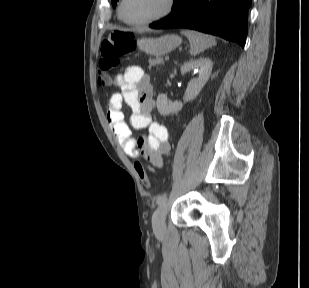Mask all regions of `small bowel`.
<instances>
[{
  "label": "small bowel",
  "mask_w": 309,
  "mask_h": 288,
  "mask_svg": "<svg viewBox=\"0 0 309 288\" xmlns=\"http://www.w3.org/2000/svg\"><path fill=\"white\" fill-rule=\"evenodd\" d=\"M120 91L113 93L107 102V121L123 151L131 158L143 156L150 166H162L163 156L171 146L165 125L153 121L152 112L156 102L149 77L138 66H128L118 76ZM123 105L130 107L129 124L124 121ZM130 126L148 129V135L136 139Z\"/></svg>",
  "instance_id": "c3829d8e"
}]
</instances>
